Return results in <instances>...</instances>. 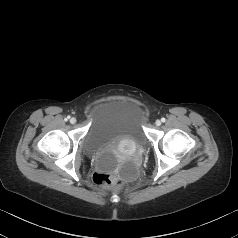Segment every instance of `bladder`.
Segmentation results:
<instances>
[{
  "label": "bladder",
  "mask_w": 238,
  "mask_h": 238,
  "mask_svg": "<svg viewBox=\"0 0 238 238\" xmlns=\"http://www.w3.org/2000/svg\"><path fill=\"white\" fill-rule=\"evenodd\" d=\"M87 131L83 139L84 152L101 169L111 168L115 149L121 143L135 148L143 147L146 111L144 106L130 98H109L92 105L86 114Z\"/></svg>",
  "instance_id": "bladder-1"
}]
</instances>
